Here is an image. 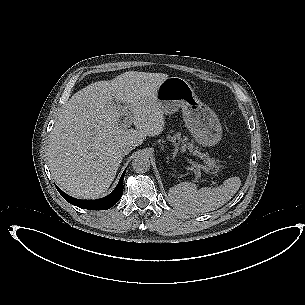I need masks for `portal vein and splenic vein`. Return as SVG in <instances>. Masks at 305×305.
<instances>
[{"mask_svg": "<svg viewBox=\"0 0 305 305\" xmlns=\"http://www.w3.org/2000/svg\"><path fill=\"white\" fill-rule=\"evenodd\" d=\"M131 121L128 119V117H125V119L122 121L123 127H129L131 125ZM214 184V183H213Z\"/></svg>", "mask_w": 305, "mask_h": 305, "instance_id": "portal-vein-and-splenic-vein-1", "label": "portal vein and splenic vein"}]
</instances>
